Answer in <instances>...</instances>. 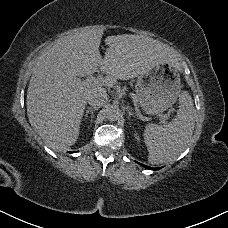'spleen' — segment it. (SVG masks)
<instances>
[{"instance_id": "3e777b00", "label": "spleen", "mask_w": 228, "mask_h": 228, "mask_svg": "<svg viewBox=\"0 0 228 228\" xmlns=\"http://www.w3.org/2000/svg\"><path fill=\"white\" fill-rule=\"evenodd\" d=\"M195 125V109L191 96L184 91L179 95V110L168 124H148L143 136L151 164L174 161L186 148Z\"/></svg>"}]
</instances>
